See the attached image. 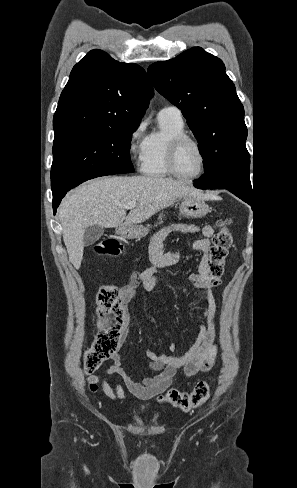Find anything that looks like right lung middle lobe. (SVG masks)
<instances>
[{
	"instance_id": "1",
	"label": "right lung middle lobe",
	"mask_w": 297,
	"mask_h": 488,
	"mask_svg": "<svg viewBox=\"0 0 297 488\" xmlns=\"http://www.w3.org/2000/svg\"><path fill=\"white\" fill-rule=\"evenodd\" d=\"M137 127L81 129L55 135L53 199L89 179L133 172L129 150Z\"/></svg>"
}]
</instances>
